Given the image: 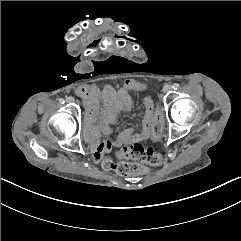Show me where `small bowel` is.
Wrapping results in <instances>:
<instances>
[{"label":"small bowel","instance_id":"1","mask_svg":"<svg viewBox=\"0 0 241 241\" xmlns=\"http://www.w3.org/2000/svg\"><path fill=\"white\" fill-rule=\"evenodd\" d=\"M139 83L128 80L123 87L115 89L106 86L100 89L97 86H81L76 94L81 97L87 110L88 140L94 147L95 161L108 154L113 148L121 150L132 146L135 143H145L151 135V127L155 118V105L153 100L146 96L144 98L145 113L139 131L126 129L115 139L100 140L101 134L110 135L113 132V125L119 116L126 112L131 106L130 90H138ZM99 104L102 107L99 108ZM99 116V120H97Z\"/></svg>","mask_w":241,"mask_h":241}]
</instances>
